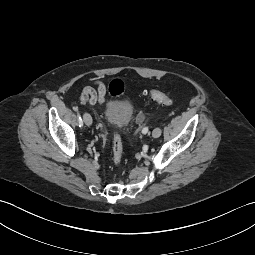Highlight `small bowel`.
Listing matches in <instances>:
<instances>
[{
    "instance_id": "small-bowel-1",
    "label": "small bowel",
    "mask_w": 255,
    "mask_h": 255,
    "mask_svg": "<svg viewBox=\"0 0 255 255\" xmlns=\"http://www.w3.org/2000/svg\"><path fill=\"white\" fill-rule=\"evenodd\" d=\"M107 89L104 83L96 81L94 85L87 86L83 89L79 100L82 104L89 103L92 106L104 105L106 100Z\"/></svg>"
}]
</instances>
